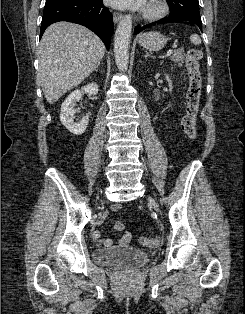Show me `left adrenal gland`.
<instances>
[{
    "instance_id": "left-adrenal-gland-1",
    "label": "left adrenal gland",
    "mask_w": 245,
    "mask_h": 314,
    "mask_svg": "<svg viewBox=\"0 0 245 314\" xmlns=\"http://www.w3.org/2000/svg\"><path fill=\"white\" fill-rule=\"evenodd\" d=\"M144 57H145V58H147V57H152V55H150L149 53H146V54L144 55Z\"/></svg>"
}]
</instances>
